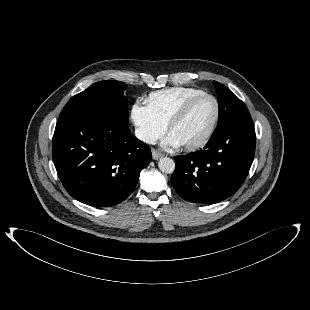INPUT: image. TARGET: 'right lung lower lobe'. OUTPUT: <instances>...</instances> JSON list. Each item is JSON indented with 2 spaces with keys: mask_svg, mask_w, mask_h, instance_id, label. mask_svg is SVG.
Masks as SVG:
<instances>
[{
  "mask_svg": "<svg viewBox=\"0 0 310 310\" xmlns=\"http://www.w3.org/2000/svg\"><path fill=\"white\" fill-rule=\"evenodd\" d=\"M52 157L72 197L87 205L109 207L133 192L141 170L151 162V150L123 122L75 114L59 118Z\"/></svg>",
  "mask_w": 310,
  "mask_h": 310,
  "instance_id": "right-lung-lower-lobe-1",
  "label": "right lung lower lobe"
}]
</instances>
